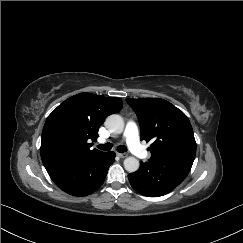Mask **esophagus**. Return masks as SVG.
<instances>
[{"instance_id":"34e87169","label":"esophagus","mask_w":243,"mask_h":243,"mask_svg":"<svg viewBox=\"0 0 243 243\" xmlns=\"http://www.w3.org/2000/svg\"><path fill=\"white\" fill-rule=\"evenodd\" d=\"M120 158H125L127 157V154L126 153H118L117 154Z\"/></svg>"}]
</instances>
